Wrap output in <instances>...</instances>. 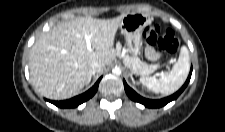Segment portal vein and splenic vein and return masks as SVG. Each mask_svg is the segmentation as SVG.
Wrapping results in <instances>:
<instances>
[{
  "label": "portal vein and splenic vein",
  "mask_w": 225,
  "mask_h": 132,
  "mask_svg": "<svg viewBox=\"0 0 225 132\" xmlns=\"http://www.w3.org/2000/svg\"><path fill=\"white\" fill-rule=\"evenodd\" d=\"M91 37H92V35H85L84 36V38L86 40V46H87L88 50H91V42H90ZM158 68H160L159 65H153L151 72H153L154 70H156Z\"/></svg>",
  "instance_id": "18ae733b"
}]
</instances>
